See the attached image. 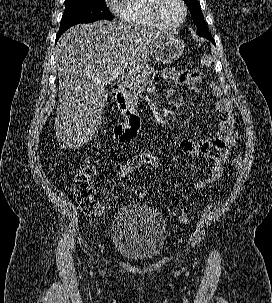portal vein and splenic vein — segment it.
Here are the masks:
<instances>
[{
    "label": "portal vein and splenic vein",
    "mask_w": 272,
    "mask_h": 303,
    "mask_svg": "<svg viewBox=\"0 0 272 303\" xmlns=\"http://www.w3.org/2000/svg\"><path fill=\"white\" fill-rule=\"evenodd\" d=\"M118 77H119V73H114V75L111 76L110 80L113 81L114 79H116V78H118ZM123 78H124V77L122 76V79H123ZM95 81L98 82V83L101 82L100 80H95Z\"/></svg>",
    "instance_id": "obj_1"
}]
</instances>
